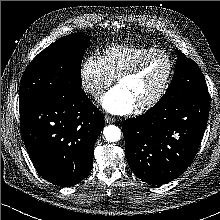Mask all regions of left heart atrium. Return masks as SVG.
<instances>
[{
	"label": "left heart atrium",
	"mask_w": 220,
	"mask_h": 220,
	"mask_svg": "<svg viewBox=\"0 0 220 220\" xmlns=\"http://www.w3.org/2000/svg\"><path fill=\"white\" fill-rule=\"evenodd\" d=\"M102 107L114 115H126L136 107L133 98L123 88L116 86L108 91L101 101Z\"/></svg>",
	"instance_id": "1"
}]
</instances>
